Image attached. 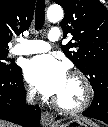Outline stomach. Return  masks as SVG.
<instances>
[{
	"label": "stomach",
	"mask_w": 108,
	"mask_h": 127,
	"mask_svg": "<svg viewBox=\"0 0 108 127\" xmlns=\"http://www.w3.org/2000/svg\"><path fill=\"white\" fill-rule=\"evenodd\" d=\"M46 127H98V126L94 123L90 124L79 119H73L63 124L55 122L52 125H47Z\"/></svg>",
	"instance_id": "1"
}]
</instances>
